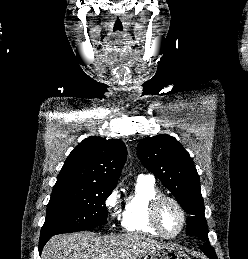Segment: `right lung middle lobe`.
Masks as SVG:
<instances>
[{"instance_id":"obj_1","label":"right lung middle lobe","mask_w":248,"mask_h":259,"mask_svg":"<svg viewBox=\"0 0 248 259\" xmlns=\"http://www.w3.org/2000/svg\"><path fill=\"white\" fill-rule=\"evenodd\" d=\"M114 188L100 185L54 186L40 237L89 230L106 224L105 200Z\"/></svg>"}]
</instances>
